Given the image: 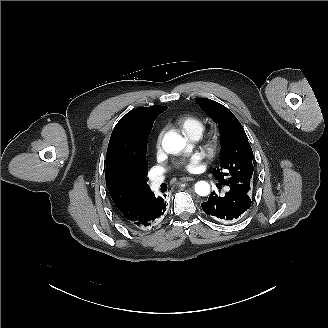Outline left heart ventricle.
Returning <instances> with one entry per match:
<instances>
[{"label": "left heart ventricle", "instance_id": "1", "mask_svg": "<svg viewBox=\"0 0 328 328\" xmlns=\"http://www.w3.org/2000/svg\"><path fill=\"white\" fill-rule=\"evenodd\" d=\"M199 158L203 159L204 161L206 160V157L204 155H200Z\"/></svg>", "mask_w": 328, "mask_h": 328}]
</instances>
